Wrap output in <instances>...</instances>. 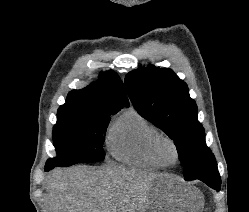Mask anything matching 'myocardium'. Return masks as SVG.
<instances>
[{
	"instance_id": "myocardium-1",
	"label": "myocardium",
	"mask_w": 249,
	"mask_h": 212,
	"mask_svg": "<svg viewBox=\"0 0 249 212\" xmlns=\"http://www.w3.org/2000/svg\"><path fill=\"white\" fill-rule=\"evenodd\" d=\"M165 143L169 144L175 153L174 162H169L162 156L161 147ZM151 153L154 159L164 167H174L180 162L181 159V151L177 142L172 137L165 134H159L152 140Z\"/></svg>"
}]
</instances>
